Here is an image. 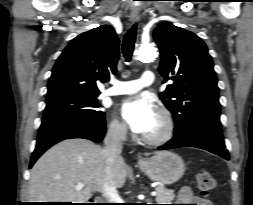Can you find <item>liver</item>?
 <instances>
[{
  "instance_id": "obj_1",
  "label": "liver",
  "mask_w": 253,
  "mask_h": 205,
  "mask_svg": "<svg viewBox=\"0 0 253 205\" xmlns=\"http://www.w3.org/2000/svg\"><path fill=\"white\" fill-rule=\"evenodd\" d=\"M103 148L85 139L64 140L47 150L34 164L28 186L33 202L85 203L94 191L101 192L106 182ZM127 166L120 156L112 168V180L121 188ZM84 187L76 190L75 186Z\"/></svg>"
}]
</instances>
